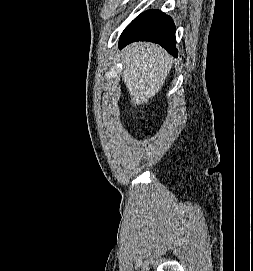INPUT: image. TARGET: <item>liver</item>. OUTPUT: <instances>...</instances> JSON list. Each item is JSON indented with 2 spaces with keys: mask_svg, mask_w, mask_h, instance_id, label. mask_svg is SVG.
<instances>
[{
  "mask_svg": "<svg viewBox=\"0 0 253 271\" xmlns=\"http://www.w3.org/2000/svg\"><path fill=\"white\" fill-rule=\"evenodd\" d=\"M123 81L131 103L147 104L165 83L172 59L160 46L147 42L133 43L123 51Z\"/></svg>",
  "mask_w": 253,
  "mask_h": 271,
  "instance_id": "liver-1",
  "label": "liver"
}]
</instances>
